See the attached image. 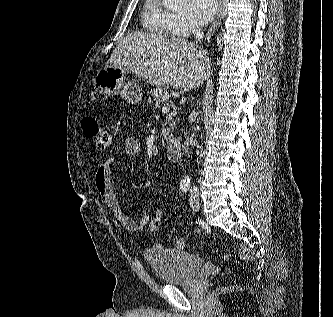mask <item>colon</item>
<instances>
[{
	"instance_id": "1",
	"label": "colon",
	"mask_w": 333,
	"mask_h": 317,
	"mask_svg": "<svg viewBox=\"0 0 333 317\" xmlns=\"http://www.w3.org/2000/svg\"><path fill=\"white\" fill-rule=\"evenodd\" d=\"M82 130L93 150L102 151L110 145L109 133L100 125L96 118L86 117L83 119ZM164 215V210L158 209L155 214L151 216L148 226L152 232L160 228ZM174 245L177 249H185L188 244L183 238H177L174 241Z\"/></svg>"
}]
</instances>
